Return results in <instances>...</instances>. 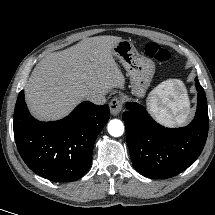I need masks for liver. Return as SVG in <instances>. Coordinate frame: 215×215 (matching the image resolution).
Listing matches in <instances>:
<instances>
[{
  "label": "liver",
  "mask_w": 215,
  "mask_h": 215,
  "mask_svg": "<svg viewBox=\"0 0 215 215\" xmlns=\"http://www.w3.org/2000/svg\"><path fill=\"white\" fill-rule=\"evenodd\" d=\"M121 40L116 36L85 38L46 55L25 85L31 113L40 120H58L89 93L106 94L112 88H123L125 79L112 53Z\"/></svg>",
  "instance_id": "liver-1"
}]
</instances>
